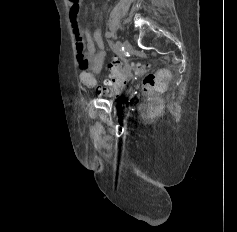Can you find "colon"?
<instances>
[{
	"instance_id": "obj_1",
	"label": "colon",
	"mask_w": 237,
	"mask_h": 232,
	"mask_svg": "<svg viewBox=\"0 0 237 232\" xmlns=\"http://www.w3.org/2000/svg\"><path fill=\"white\" fill-rule=\"evenodd\" d=\"M108 69L111 73V78L108 79L104 85H99L107 90H121L127 83L129 74L131 71L136 74H145L146 66L141 63H127L114 59L109 63ZM169 79V73L166 70H161L156 73H148L144 76L142 91L146 97L145 101L141 105V113L145 119H152L161 110V103L157 99V96L164 92L167 87ZM81 80L86 86H93L96 84L95 78L92 74L84 71L81 74Z\"/></svg>"
}]
</instances>
